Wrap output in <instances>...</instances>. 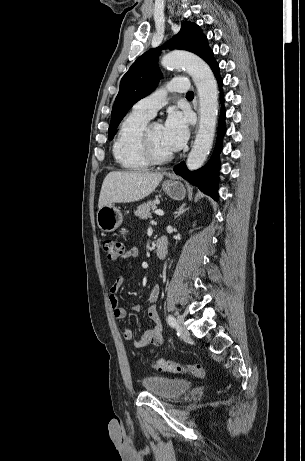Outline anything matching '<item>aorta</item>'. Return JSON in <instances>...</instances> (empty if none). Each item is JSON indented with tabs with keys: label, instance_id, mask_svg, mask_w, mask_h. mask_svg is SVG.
<instances>
[{
	"label": "aorta",
	"instance_id": "aorta-1",
	"mask_svg": "<svg viewBox=\"0 0 305 461\" xmlns=\"http://www.w3.org/2000/svg\"><path fill=\"white\" fill-rule=\"evenodd\" d=\"M161 63L167 69L185 68L198 90L200 123L186 163L193 171L203 165L212 148L218 115L217 83L207 63L193 54L174 51L165 55Z\"/></svg>",
	"mask_w": 305,
	"mask_h": 461
}]
</instances>
